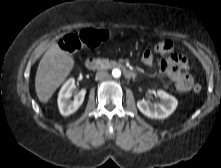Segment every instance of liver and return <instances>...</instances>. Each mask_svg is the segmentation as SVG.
<instances>
[{"label": "liver", "instance_id": "1", "mask_svg": "<svg viewBox=\"0 0 221 168\" xmlns=\"http://www.w3.org/2000/svg\"><path fill=\"white\" fill-rule=\"evenodd\" d=\"M74 67L68 52L53 43L44 53L37 68L35 91L40 102L47 103Z\"/></svg>", "mask_w": 221, "mask_h": 168}]
</instances>
